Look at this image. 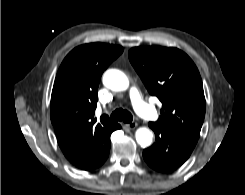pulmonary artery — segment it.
Here are the masks:
<instances>
[{"mask_svg":"<svg viewBox=\"0 0 245 195\" xmlns=\"http://www.w3.org/2000/svg\"><path fill=\"white\" fill-rule=\"evenodd\" d=\"M130 98L136 112L146 120L155 121L158 118L156 110L143 101L137 88L130 89Z\"/></svg>","mask_w":245,"mask_h":195,"instance_id":"pulmonary-artery-1","label":"pulmonary artery"}]
</instances>
